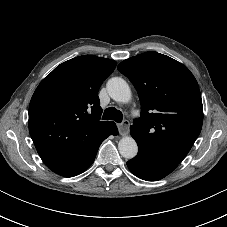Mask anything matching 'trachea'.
Masks as SVG:
<instances>
[{
	"label": "trachea",
	"instance_id": "1",
	"mask_svg": "<svg viewBox=\"0 0 227 227\" xmlns=\"http://www.w3.org/2000/svg\"><path fill=\"white\" fill-rule=\"evenodd\" d=\"M102 119L114 120L117 123H121L123 119V114L120 110L115 107H109L105 109Z\"/></svg>",
	"mask_w": 227,
	"mask_h": 227
}]
</instances>
